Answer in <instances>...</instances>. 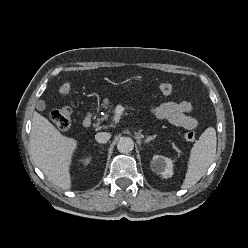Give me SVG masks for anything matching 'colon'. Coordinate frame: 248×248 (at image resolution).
<instances>
[{"label": "colon", "mask_w": 248, "mask_h": 248, "mask_svg": "<svg viewBox=\"0 0 248 248\" xmlns=\"http://www.w3.org/2000/svg\"><path fill=\"white\" fill-rule=\"evenodd\" d=\"M159 90L163 95H170L175 91V85L169 82L161 83ZM71 88L69 84H63L59 88V93L62 96H68ZM52 124L59 130H66L71 126L72 112L70 107L65 106L51 112L50 116ZM184 137L187 141L193 142L196 139V133L193 130H188Z\"/></svg>", "instance_id": "1"}]
</instances>
